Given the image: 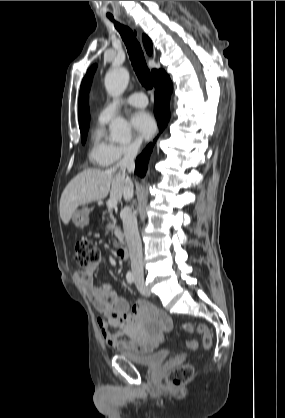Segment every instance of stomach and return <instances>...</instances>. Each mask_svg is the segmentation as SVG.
I'll return each instance as SVG.
<instances>
[{
    "label": "stomach",
    "mask_w": 285,
    "mask_h": 418,
    "mask_svg": "<svg viewBox=\"0 0 285 418\" xmlns=\"http://www.w3.org/2000/svg\"><path fill=\"white\" fill-rule=\"evenodd\" d=\"M89 212L90 210L84 208L82 210L75 211L72 216V221L77 227H84L89 224Z\"/></svg>",
    "instance_id": "obj_1"
}]
</instances>
